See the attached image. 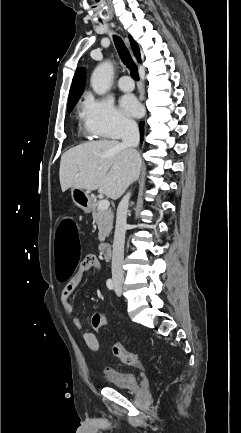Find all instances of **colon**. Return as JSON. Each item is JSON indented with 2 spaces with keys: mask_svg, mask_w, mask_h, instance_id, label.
<instances>
[{
  "mask_svg": "<svg viewBox=\"0 0 241 433\" xmlns=\"http://www.w3.org/2000/svg\"><path fill=\"white\" fill-rule=\"evenodd\" d=\"M52 249L55 261L54 267L57 271L58 280L60 282H65L70 278L71 273L75 269V265H77L80 258L78 226L76 220H59L58 225L53 226ZM90 323L92 324L93 329H100L101 314L94 313ZM113 354L125 364L139 365L140 363L139 355L137 353L126 351L119 343L113 345Z\"/></svg>",
  "mask_w": 241,
  "mask_h": 433,
  "instance_id": "5ec220e1",
  "label": "colon"
}]
</instances>
